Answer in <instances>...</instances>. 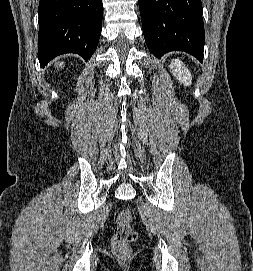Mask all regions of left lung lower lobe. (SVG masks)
I'll list each match as a JSON object with an SVG mask.
<instances>
[{
	"mask_svg": "<svg viewBox=\"0 0 253 271\" xmlns=\"http://www.w3.org/2000/svg\"><path fill=\"white\" fill-rule=\"evenodd\" d=\"M144 38L158 58L185 51L203 61L204 24L201 0H138Z\"/></svg>",
	"mask_w": 253,
	"mask_h": 271,
	"instance_id": "1",
	"label": "left lung lower lobe"
}]
</instances>
